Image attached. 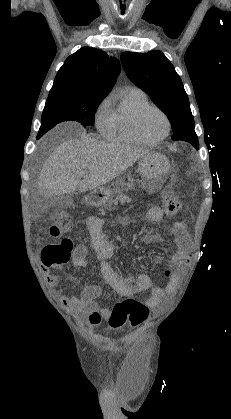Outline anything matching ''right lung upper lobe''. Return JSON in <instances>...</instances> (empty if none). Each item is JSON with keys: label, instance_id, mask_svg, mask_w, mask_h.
I'll use <instances>...</instances> for the list:
<instances>
[{"label": "right lung upper lobe", "instance_id": "cb5924a9", "mask_svg": "<svg viewBox=\"0 0 231 419\" xmlns=\"http://www.w3.org/2000/svg\"><path fill=\"white\" fill-rule=\"evenodd\" d=\"M120 70L118 59L109 57L102 50L83 47L65 60L51 91L65 90L77 97L104 98Z\"/></svg>", "mask_w": 231, "mask_h": 419}]
</instances>
